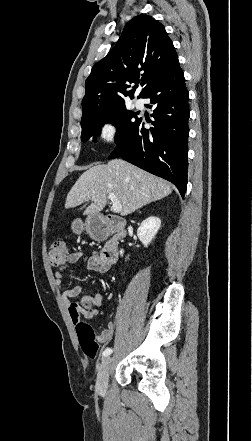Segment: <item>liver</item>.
I'll return each mask as SVG.
<instances>
[{
  "label": "liver",
  "instance_id": "obj_1",
  "mask_svg": "<svg viewBox=\"0 0 252 441\" xmlns=\"http://www.w3.org/2000/svg\"><path fill=\"white\" fill-rule=\"evenodd\" d=\"M171 192L167 181L126 161L114 159L85 171L69 191L65 207L73 208L91 200L84 214H97L105 207L109 193H113L122 205L121 216H127Z\"/></svg>",
  "mask_w": 252,
  "mask_h": 441
}]
</instances>
